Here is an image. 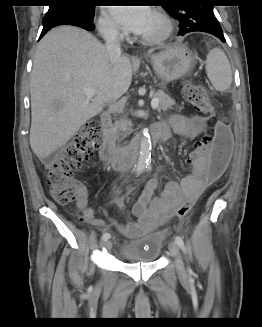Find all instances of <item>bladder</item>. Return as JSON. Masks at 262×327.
I'll list each match as a JSON object with an SVG mask.
<instances>
[{
	"label": "bladder",
	"mask_w": 262,
	"mask_h": 327,
	"mask_svg": "<svg viewBox=\"0 0 262 327\" xmlns=\"http://www.w3.org/2000/svg\"><path fill=\"white\" fill-rule=\"evenodd\" d=\"M165 241L164 232H150L124 243L120 248V257L130 263H154L159 259Z\"/></svg>",
	"instance_id": "31cf9c89"
}]
</instances>
